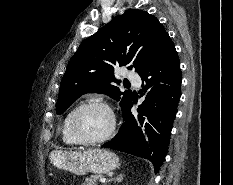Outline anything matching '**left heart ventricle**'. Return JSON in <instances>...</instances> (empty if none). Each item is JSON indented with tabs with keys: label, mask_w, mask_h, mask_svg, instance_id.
<instances>
[{
	"label": "left heart ventricle",
	"mask_w": 233,
	"mask_h": 185,
	"mask_svg": "<svg viewBox=\"0 0 233 185\" xmlns=\"http://www.w3.org/2000/svg\"><path fill=\"white\" fill-rule=\"evenodd\" d=\"M111 116L103 108H91L79 118L77 127L82 136L89 139L105 135L111 127Z\"/></svg>",
	"instance_id": "left-heart-ventricle-1"
}]
</instances>
